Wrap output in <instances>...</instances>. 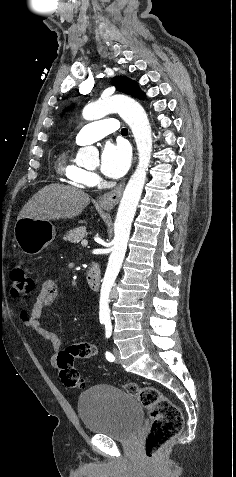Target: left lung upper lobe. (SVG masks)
Returning a JSON list of instances; mask_svg holds the SVG:
<instances>
[{
  "label": "left lung upper lobe",
  "instance_id": "5c2ea615",
  "mask_svg": "<svg viewBox=\"0 0 236 477\" xmlns=\"http://www.w3.org/2000/svg\"><path fill=\"white\" fill-rule=\"evenodd\" d=\"M113 85L116 87L117 91L132 95L139 99H144L145 94L140 90L137 82L126 78L116 76L113 78Z\"/></svg>",
  "mask_w": 236,
  "mask_h": 477
}]
</instances>
